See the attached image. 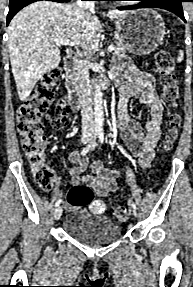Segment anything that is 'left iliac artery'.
<instances>
[{
  "instance_id": "left-iliac-artery-1",
  "label": "left iliac artery",
  "mask_w": 193,
  "mask_h": 287,
  "mask_svg": "<svg viewBox=\"0 0 193 287\" xmlns=\"http://www.w3.org/2000/svg\"><path fill=\"white\" fill-rule=\"evenodd\" d=\"M99 139H100V143L103 144L104 142V133L103 132H100L99 133ZM131 206L136 209V204L134 202H131Z\"/></svg>"
}]
</instances>
